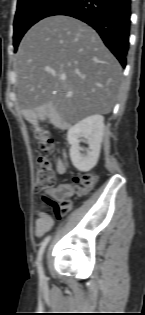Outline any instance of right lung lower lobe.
<instances>
[{
    "label": "right lung lower lobe",
    "mask_w": 145,
    "mask_h": 315,
    "mask_svg": "<svg viewBox=\"0 0 145 315\" xmlns=\"http://www.w3.org/2000/svg\"><path fill=\"white\" fill-rule=\"evenodd\" d=\"M67 15L92 26L125 67L129 49L131 0H68L50 16Z\"/></svg>",
    "instance_id": "1"
}]
</instances>
